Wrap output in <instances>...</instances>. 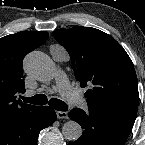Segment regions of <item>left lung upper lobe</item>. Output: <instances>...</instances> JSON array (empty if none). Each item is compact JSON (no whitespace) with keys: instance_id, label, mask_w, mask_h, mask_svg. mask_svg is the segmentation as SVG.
Returning a JSON list of instances; mask_svg holds the SVG:
<instances>
[{"instance_id":"left-lung-upper-lobe-1","label":"left lung upper lobe","mask_w":145,"mask_h":145,"mask_svg":"<svg viewBox=\"0 0 145 145\" xmlns=\"http://www.w3.org/2000/svg\"><path fill=\"white\" fill-rule=\"evenodd\" d=\"M68 51L76 80L86 91L89 108L138 109V83L133 63L110 35L90 27L75 26L53 32Z\"/></svg>"}]
</instances>
